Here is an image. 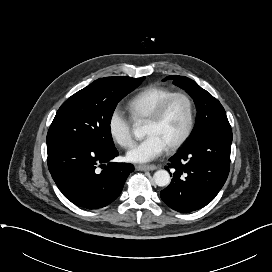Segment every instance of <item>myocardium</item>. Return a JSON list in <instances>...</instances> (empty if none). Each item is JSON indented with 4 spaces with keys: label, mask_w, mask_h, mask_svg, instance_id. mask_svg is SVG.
I'll return each instance as SVG.
<instances>
[{
    "label": "myocardium",
    "mask_w": 272,
    "mask_h": 272,
    "mask_svg": "<svg viewBox=\"0 0 272 272\" xmlns=\"http://www.w3.org/2000/svg\"><path fill=\"white\" fill-rule=\"evenodd\" d=\"M183 98L188 107V120L186 128L181 135V137L175 141L172 145L167 147L168 151L173 152L178 150L180 147H182L187 140L190 138L194 126H195V106L192 98L183 91H176L169 94L167 97H165L153 110V112L150 114V116L147 118V122H158L166 112L168 106L175 98Z\"/></svg>",
    "instance_id": "f54148a6"
}]
</instances>
